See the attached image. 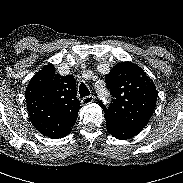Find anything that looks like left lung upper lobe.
<instances>
[{"label": "left lung upper lobe", "mask_w": 183, "mask_h": 183, "mask_svg": "<svg viewBox=\"0 0 183 183\" xmlns=\"http://www.w3.org/2000/svg\"><path fill=\"white\" fill-rule=\"evenodd\" d=\"M105 82L113 96L108 108L100 102L105 117L144 127L154 111L158 92L142 68L131 62L118 63L105 76Z\"/></svg>", "instance_id": "1"}]
</instances>
